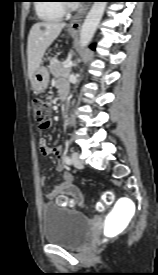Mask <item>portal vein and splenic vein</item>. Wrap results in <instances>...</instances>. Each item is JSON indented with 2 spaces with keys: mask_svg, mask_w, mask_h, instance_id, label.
<instances>
[{
  "mask_svg": "<svg viewBox=\"0 0 158 275\" xmlns=\"http://www.w3.org/2000/svg\"><path fill=\"white\" fill-rule=\"evenodd\" d=\"M72 65H73V63L71 60H68L65 63H63V67H66V68H70V67H72Z\"/></svg>",
  "mask_w": 158,
  "mask_h": 275,
  "instance_id": "portal-vein-and-splenic-vein-1",
  "label": "portal vein and splenic vein"
}]
</instances>
